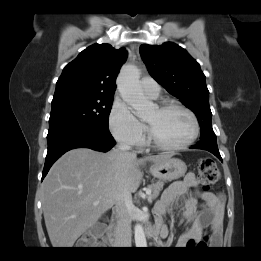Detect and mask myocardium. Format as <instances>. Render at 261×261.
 I'll list each match as a JSON object with an SVG mask.
<instances>
[{"label":"myocardium","instance_id":"obj_1","mask_svg":"<svg viewBox=\"0 0 261 261\" xmlns=\"http://www.w3.org/2000/svg\"><path fill=\"white\" fill-rule=\"evenodd\" d=\"M156 108L159 111H167L170 109H179L185 112L191 119L192 124H193V130L190 135V137L184 141L183 143L176 144V145H168V144H163L160 141H158L155 136L153 135L152 130L150 129L149 125L146 123V133H147V142L149 145L152 147L159 149V150H164V151H178V150H183L190 145L194 143V141L197 139L199 132H200V125L197 116L195 113L186 107L185 105L175 102V101H165L161 102L156 106Z\"/></svg>","mask_w":261,"mask_h":261}]
</instances>
